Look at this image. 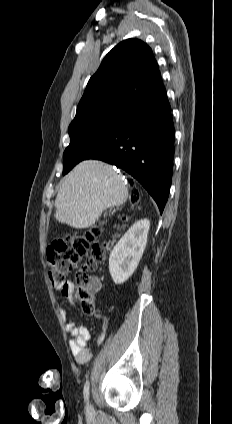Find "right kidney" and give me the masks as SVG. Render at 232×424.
<instances>
[{"label":"right kidney","instance_id":"1","mask_svg":"<svg viewBox=\"0 0 232 424\" xmlns=\"http://www.w3.org/2000/svg\"><path fill=\"white\" fill-rule=\"evenodd\" d=\"M149 227L148 219L137 221L111 251L109 272L115 284L124 283L137 268L146 247Z\"/></svg>","mask_w":232,"mask_h":424}]
</instances>
